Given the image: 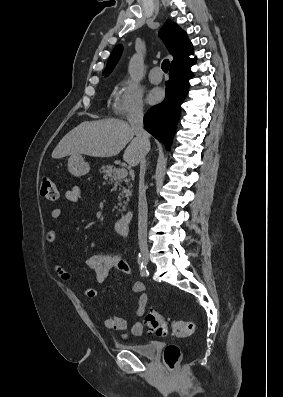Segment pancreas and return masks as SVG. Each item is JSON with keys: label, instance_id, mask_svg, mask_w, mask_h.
Wrapping results in <instances>:
<instances>
[{"label": "pancreas", "instance_id": "obj_1", "mask_svg": "<svg viewBox=\"0 0 283 397\" xmlns=\"http://www.w3.org/2000/svg\"><path fill=\"white\" fill-rule=\"evenodd\" d=\"M118 170L119 169L115 168L113 165L101 167V172L103 173V177L108 183L112 184L114 181L118 180L119 182H122L124 180V182L128 185L129 184L128 179L117 178ZM130 195H131V188L130 187L128 189L123 188L122 192L119 194L117 199L120 202L122 198L124 197L129 198ZM124 204H127V202H124ZM119 205L122 206L123 204L119 203ZM123 210H125V206H123Z\"/></svg>", "mask_w": 283, "mask_h": 397}]
</instances>
